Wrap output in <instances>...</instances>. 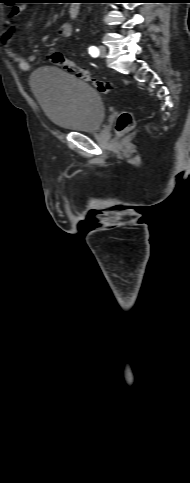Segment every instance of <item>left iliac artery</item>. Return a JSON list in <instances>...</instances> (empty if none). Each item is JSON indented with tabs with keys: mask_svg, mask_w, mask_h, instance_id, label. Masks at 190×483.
I'll list each match as a JSON object with an SVG mask.
<instances>
[{
	"mask_svg": "<svg viewBox=\"0 0 190 483\" xmlns=\"http://www.w3.org/2000/svg\"><path fill=\"white\" fill-rule=\"evenodd\" d=\"M88 50L92 57H97L99 55V50L95 46H90Z\"/></svg>",
	"mask_w": 190,
	"mask_h": 483,
	"instance_id": "1",
	"label": "left iliac artery"
}]
</instances>
